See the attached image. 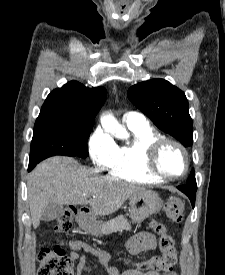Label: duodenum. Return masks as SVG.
Masks as SVG:
<instances>
[{
    "label": "duodenum",
    "mask_w": 225,
    "mask_h": 275,
    "mask_svg": "<svg viewBox=\"0 0 225 275\" xmlns=\"http://www.w3.org/2000/svg\"><path fill=\"white\" fill-rule=\"evenodd\" d=\"M87 212H88L87 209H83V210L80 211L79 216L83 217V216H85L87 214Z\"/></svg>",
    "instance_id": "obj_1"
}]
</instances>
